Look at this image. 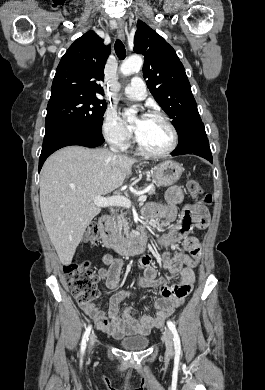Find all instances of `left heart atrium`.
<instances>
[{
	"mask_svg": "<svg viewBox=\"0 0 265 390\" xmlns=\"http://www.w3.org/2000/svg\"><path fill=\"white\" fill-rule=\"evenodd\" d=\"M140 118H144V116H141ZM135 130H136V127H135Z\"/></svg>",
	"mask_w": 265,
	"mask_h": 390,
	"instance_id": "39dd6f15",
	"label": "left heart atrium"
}]
</instances>
